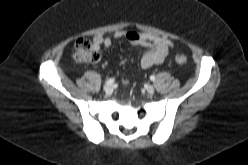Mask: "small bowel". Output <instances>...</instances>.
Masks as SVG:
<instances>
[{"mask_svg":"<svg viewBox=\"0 0 248 165\" xmlns=\"http://www.w3.org/2000/svg\"><path fill=\"white\" fill-rule=\"evenodd\" d=\"M119 39H125L143 50L140 66L144 69L161 64L173 46L170 40L156 34L124 30L116 31L111 36L96 35L92 42L96 49H101L109 48L114 40Z\"/></svg>","mask_w":248,"mask_h":165,"instance_id":"obj_1","label":"small bowel"}]
</instances>
